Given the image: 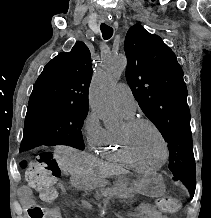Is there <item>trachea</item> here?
I'll list each match as a JSON object with an SVG mask.
<instances>
[{"mask_svg":"<svg viewBox=\"0 0 211 218\" xmlns=\"http://www.w3.org/2000/svg\"><path fill=\"white\" fill-rule=\"evenodd\" d=\"M100 28H101L102 37L104 38V40H109L113 35V28L105 24H102Z\"/></svg>","mask_w":211,"mask_h":218,"instance_id":"obj_1","label":"trachea"}]
</instances>
